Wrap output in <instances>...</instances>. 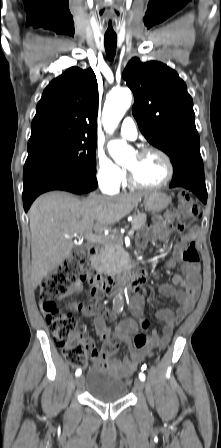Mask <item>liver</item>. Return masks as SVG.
Returning <instances> with one entry per match:
<instances>
[{
	"instance_id": "6515ba94",
	"label": "liver",
	"mask_w": 221,
	"mask_h": 448,
	"mask_svg": "<svg viewBox=\"0 0 221 448\" xmlns=\"http://www.w3.org/2000/svg\"><path fill=\"white\" fill-rule=\"evenodd\" d=\"M147 194L92 196L88 199H79L66 192L39 196L29 210L33 288L71 255L73 237L92 230L102 233L127 216Z\"/></svg>"
}]
</instances>
